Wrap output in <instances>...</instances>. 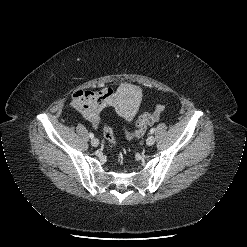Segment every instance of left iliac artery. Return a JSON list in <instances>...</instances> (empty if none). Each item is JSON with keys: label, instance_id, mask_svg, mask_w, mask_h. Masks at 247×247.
<instances>
[{"label": "left iliac artery", "instance_id": "obj_1", "mask_svg": "<svg viewBox=\"0 0 247 247\" xmlns=\"http://www.w3.org/2000/svg\"><path fill=\"white\" fill-rule=\"evenodd\" d=\"M154 132H155V128L153 127L150 129V133L153 134Z\"/></svg>", "mask_w": 247, "mask_h": 247}]
</instances>
